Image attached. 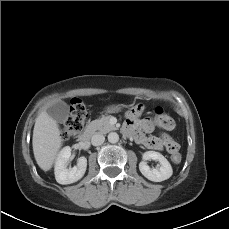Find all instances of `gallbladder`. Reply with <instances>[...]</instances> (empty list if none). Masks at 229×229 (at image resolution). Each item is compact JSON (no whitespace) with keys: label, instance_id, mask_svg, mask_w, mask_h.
Returning <instances> with one entry per match:
<instances>
[{"label":"gallbladder","instance_id":"1","mask_svg":"<svg viewBox=\"0 0 229 229\" xmlns=\"http://www.w3.org/2000/svg\"><path fill=\"white\" fill-rule=\"evenodd\" d=\"M47 113L57 122L63 123L69 117V106L64 101H57L48 107Z\"/></svg>","mask_w":229,"mask_h":229}]
</instances>
